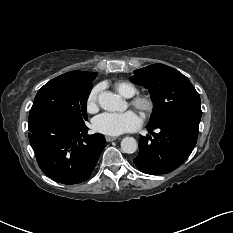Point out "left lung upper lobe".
<instances>
[{
    "instance_id": "1",
    "label": "left lung upper lobe",
    "mask_w": 233,
    "mask_h": 233,
    "mask_svg": "<svg viewBox=\"0 0 233 233\" xmlns=\"http://www.w3.org/2000/svg\"><path fill=\"white\" fill-rule=\"evenodd\" d=\"M130 81L144 86L154 104L150 123L178 114L202 115L200 96L189 79L174 68L153 64L135 70Z\"/></svg>"
}]
</instances>
